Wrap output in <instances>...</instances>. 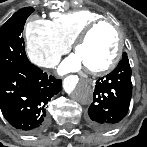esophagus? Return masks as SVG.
Masks as SVG:
<instances>
[{
  "mask_svg": "<svg viewBox=\"0 0 147 147\" xmlns=\"http://www.w3.org/2000/svg\"><path fill=\"white\" fill-rule=\"evenodd\" d=\"M89 82V84L91 85V86H94V82L93 81H88Z\"/></svg>",
  "mask_w": 147,
  "mask_h": 147,
  "instance_id": "1",
  "label": "esophagus"
}]
</instances>
